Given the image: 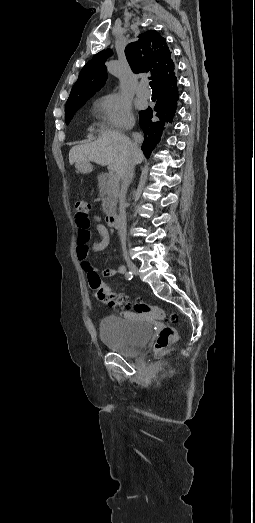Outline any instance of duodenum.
I'll return each instance as SVG.
<instances>
[{
  "label": "duodenum",
  "instance_id": "410a0bca",
  "mask_svg": "<svg viewBox=\"0 0 255 523\" xmlns=\"http://www.w3.org/2000/svg\"><path fill=\"white\" fill-rule=\"evenodd\" d=\"M106 222L108 226L112 228H118L119 227V216L115 213L108 214L106 217Z\"/></svg>",
  "mask_w": 255,
  "mask_h": 523
}]
</instances>
